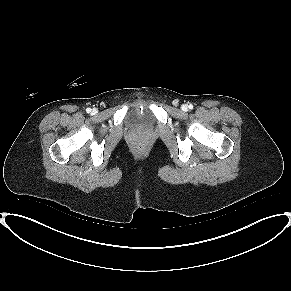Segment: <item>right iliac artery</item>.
<instances>
[{"mask_svg": "<svg viewBox=\"0 0 291 291\" xmlns=\"http://www.w3.org/2000/svg\"><path fill=\"white\" fill-rule=\"evenodd\" d=\"M86 112H87V113L91 112V109H90V108H87V109H86Z\"/></svg>", "mask_w": 291, "mask_h": 291, "instance_id": "obj_1", "label": "right iliac artery"}]
</instances>
